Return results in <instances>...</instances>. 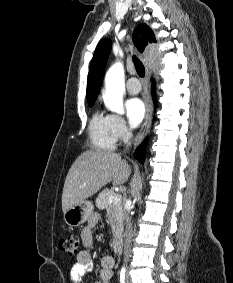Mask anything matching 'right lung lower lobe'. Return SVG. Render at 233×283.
I'll return each mask as SVG.
<instances>
[{
    "instance_id": "right-lung-lower-lobe-1",
    "label": "right lung lower lobe",
    "mask_w": 233,
    "mask_h": 283,
    "mask_svg": "<svg viewBox=\"0 0 233 283\" xmlns=\"http://www.w3.org/2000/svg\"><path fill=\"white\" fill-rule=\"evenodd\" d=\"M154 92V90H153ZM155 99V96H154ZM145 146H146V140L137 148L135 153V158L139 160V162H143L145 157Z\"/></svg>"
}]
</instances>
